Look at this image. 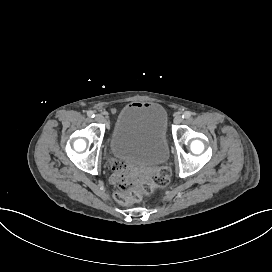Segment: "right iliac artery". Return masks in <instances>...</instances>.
Here are the masks:
<instances>
[{
	"mask_svg": "<svg viewBox=\"0 0 272 272\" xmlns=\"http://www.w3.org/2000/svg\"><path fill=\"white\" fill-rule=\"evenodd\" d=\"M87 115H88L89 117H91V118H94V117H95V114H94L93 111H88V112H87Z\"/></svg>",
	"mask_w": 272,
	"mask_h": 272,
	"instance_id": "obj_1",
	"label": "right iliac artery"
}]
</instances>
